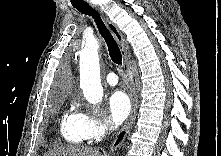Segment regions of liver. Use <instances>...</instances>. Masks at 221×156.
Instances as JSON below:
<instances>
[{
  "label": "liver",
  "instance_id": "obj_1",
  "mask_svg": "<svg viewBox=\"0 0 221 156\" xmlns=\"http://www.w3.org/2000/svg\"><path fill=\"white\" fill-rule=\"evenodd\" d=\"M44 156H106L93 147H58L48 151Z\"/></svg>",
  "mask_w": 221,
  "mask_h": 156
}]
</instances>
